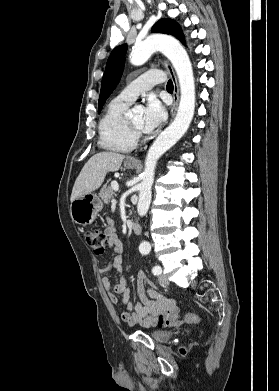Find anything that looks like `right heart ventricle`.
<instances>
[{"label":"right heart ventricle","instance_id":"right-heart-ventricle-1","mask_svg":"<svg viewBox=\"0 0 279 391\" xmlns=\"http://www.w3.org/2000/svg\"><path fill=\"white\" fill-rule=\"evenodd\" d=\"M130 103L117 96L107 105L99 122V144L103 149L128 152L135 148L137 139L128 126L126 116Z\"/></svg>","mask_w":279,"mask_h":391}]
</instances>
